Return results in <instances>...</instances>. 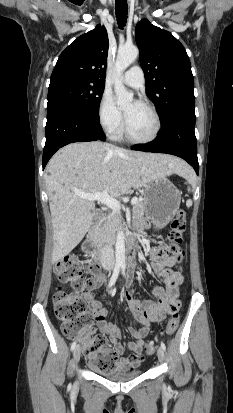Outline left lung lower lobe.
Instances as JSON below:
<instances>
[{"label":"left lung lower lobe","mask_w":233,"mask_h":413,"mask_svg":"<svg viewBox=\"0 0 233 413\" xmlns=\"http://www.w3.org/2000/svg\"><path fill=\"white\" fill-rule=\"evenodd\" d=\"M194 128L195 118L177 115L162 124V130L155 140L134 146L132 149L181 157L195 169L198 175L197 140Z\"/></svg>","instance_id":"0a47b994"}]
</instances>
